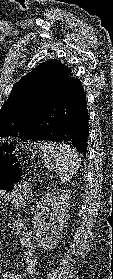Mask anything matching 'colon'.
Masks as SVG:
<instances>
[{
	"label": "colon",
	"mask_w": 113,
	"mask_h": 279,
	"mask_svg": "<svg viewBox=\"0 0 113 279\" xmlns=\"http://www.w3.org/2000/svg\"><path fill=\"white\" fill-rule=\"evenodd\" d=\"M22 170L17 161V149L13 144L0 148V191L7 194L18 193L23 188Z\"/></svg>",
	"instance_id": "1"
}]
</instances>
